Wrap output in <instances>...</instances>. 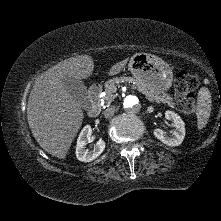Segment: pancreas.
<instances>
[{
	"label": "pancreas",
	"mask_w": 221,
	"mask_h": 221,
	"mask_svg": "<svg viewBox=\"0 0 221 221\" xmlns=\"http://www.w3.org/2000/svg\"><path fill=\"white\" fill-rule=\"evenodd\" d=\"M122 82L132 83L133 87L136 88L139 92L146 95V97L150 101H155L156 103H164L170 107H174L173 98L170 97L169 95L155 94V93L149 91L148 89H146L145 87H143L142 85H140L139 83H137L132 77H124V76L110 79L109 81H107L105 83L106 95L104 97V100H105L106 104H110L112 101H114V99L116 98V94H114V93L117 91L116 85H118Z\"/></svg>",
	"instance_id": "1"
}]
</instances>
